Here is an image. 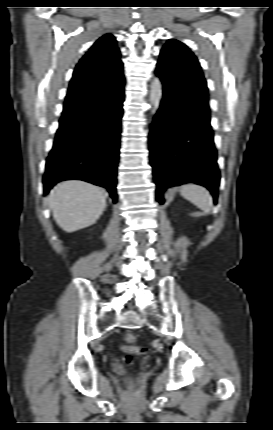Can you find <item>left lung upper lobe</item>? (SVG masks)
<instances>
[{
    "label": "left lung upper lobe",
    "mask_w": 273,
    "mask_h": 430,
    "mask_svg": "<svg viewBox=\"0 0 273 430\" xmlns=\"http://www.w3.org/2000/svg\"><path fill=\"white\" fill-rule=\"evenodd\" d=\"M159 76L169 79L178 97L187 99L209 114V96L206 80L196 56L175 39L163 46L157 63Z\"/></svg>",
    "instance_id": "5c2ea615"
}]
</instances>
